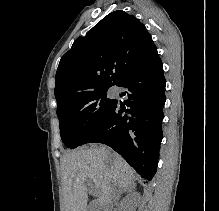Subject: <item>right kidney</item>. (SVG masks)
<instances>
[{
	"mask_svg": "<svg viewBox=\"0 0 219 211\" xmlns=\"http://www.w3.org/2000/svg\"><path fill=\"white\" fill-rule=\"evenodd\" d=\"M140 197H139V193H134V199H130L131 203H133V207H135V205H137V201H139Z\"/></svg>",
	"mask_w": 219,
	"mask_h": 211,
	"instance_id": "ca27d5eb",
	"label": "right kidney"
}]
</instances>
